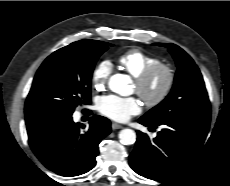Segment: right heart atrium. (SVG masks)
Returning <instances> with one entry per match:
<instances>
[{"instance_id":"1","label":"right heart atrium","mask_w":230,"mask_h":186,"mask_svg":"<svg viewBox=\"0 0 230 186\" xmlns=\"http://www.w3.org/2000/svg\"><path fill=\"white\" fill-rule=\"evenodd\" d=\"M112 64L109 60H102L96 64L91 74V81L96 89H103L112 73Z\"/></svg>"}]
</instances>
